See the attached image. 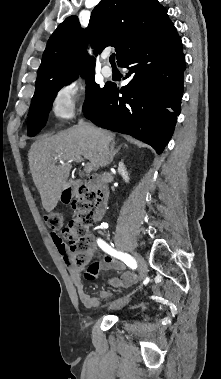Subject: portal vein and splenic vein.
Segmentation results:
<instances>
[{
  "label": "portal vein and splenic vein",
  "mask_w": 221,
  "mask_h": 379,
  "mask_svg": "<svg viewBox=\"0 0 221 379\" xmlns=\"http://www.w3.org/2000/svg\"><path fill=\"white\" fill-rule=\"evenodd\" d=\"M56 160H59L61 163H64L65 160H67L68 162H73V161H81V159L79 157H73V158H67V159H64L62 160L61 158H56ZM84 171L86 173H90L92 171V165L90 163H87L85 165V168H84Z\"/></svg>",
  "instance_id": "obj_1"
}]
</instances>
